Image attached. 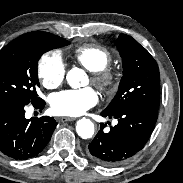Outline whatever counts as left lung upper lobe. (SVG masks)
I'll use <instances>...</instances> for the list:
<instances>
[{
    "mask_svg": "<svg viewBox=\"0 0 183 183\" xmlns=\"http://www.w3.org/2000/svg\"><path fill=\"white\" fill-rule=\"evenodd\" d=\"M123 63L118 92L103 110L116 113L127 107L158 110L160 101L159 68L150 53L132 37L121 34L115 41Z\"/></svg>",
    "mask_w": 183,
    "mask_h": 183,
    "instance_id": "1",
    "label": "left lung upper lobe"
}]
</instances>
